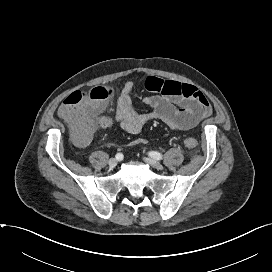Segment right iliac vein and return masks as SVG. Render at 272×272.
I'll use <instances>...</instances> for the list:
<instances>
[{"instance_id":"63e3f726","label":"right iliac vein","mask_w":272,"mask_h":272,"mask_svg":"<svg viewBox=\"0 0 272 272\" xmlns=\"http://www.w3.org/2000/svg\"><path fill=\"white\" fill-rule=\"evenodd\" d=\"M110 168H114L117 165V159L111 158L108 162Z\"/></svg>"}]
</instances>
